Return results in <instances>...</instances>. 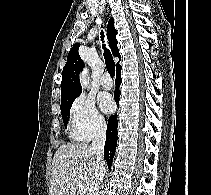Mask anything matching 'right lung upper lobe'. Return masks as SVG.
<instances>
[{"label": "right lung upper lobe", "mask_w": 211, "mask_h": 195, "mask_svg": "<svg viewBox=\"0 0 211 195\" xmlns=\"http://www.w3.org/2000/svg\"><path fill=\"white\" fill-rule=\"evenodd\" d=\"M117 30L114 28V19L110 18L107 27V38L112 54L120 58L116 40ZM80 44L76 43L67 56V63L63 68L61 82V103L74 100L82 91L79 73L84 67V62L79 56L78 48ZM119 62L116 69L120 68Z\"/></svg>", "instance_id": "right-lung-upper-lobe-1"}]
</instances>
